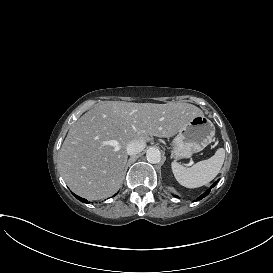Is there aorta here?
I'll return each instance as SVG.
<instances>
[{"label": "aorta", "instance_id": "1", "mask_svg": "<svg viewBox=\"0 0 273 273\" xmlns=\"http://www.w3.org/2000/svg\"><path fill=\"white\" fill-rule=\"evenodd\" d=\"M147 161L156 164L161 160V153L157 148L151 147L146 152Z\"/></svg>", "mask_w": 273, "mask_h": 273}]
</instances>
